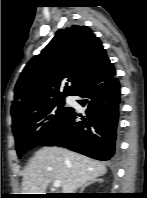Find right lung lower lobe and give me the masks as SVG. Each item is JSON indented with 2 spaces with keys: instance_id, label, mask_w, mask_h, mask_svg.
I'll use <instances>...</instances> for the list:
<instances>
[{
  "instance_id": "obj_1",
  "label": "right lung lower lobe",
  "mask_w": 147,
  "mask_h": 198,
  "mask_svg": "<svg viewBox=\"0 0 147 198\" xmlns=\"http://www.w3.org/2000/svg\"><path fill=\"white\" fill-rule=\"evenodd\" d=\"M115 69L108 61L87 81L75 95L86 107V117L77 122V113L71 110L60 128L39 146H60L106 161L115 153L119 117L120 86Z\"/></svg>"
}]
</instances>
